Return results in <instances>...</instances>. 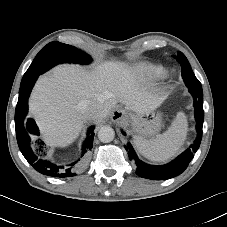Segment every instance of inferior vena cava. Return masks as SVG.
<instances>
[{
	"mask_svg": "<svg viewBox=\"0 0 227 227\" xmlns=\"http://www.w3.org/2000/svg\"><path fill=\"white\" fill-rule=\"evenodd\" d=\"M81 106L84 113L90 118L96 116L101 109V106L99 104L91 101H84Z\"/></svg>",
	"mask_w": 227,
	"mask_h": 227,
	"instance_id": "602c4592",
	"label": "inferior vena cava"
}]
</instances>
